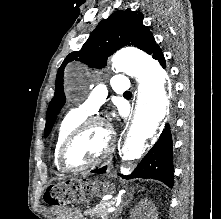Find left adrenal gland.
<instances>
[{
  "mask_svg": "<svg viewBox=\"0 0 221 219\" xmlns=\"http://www.w3.org/2000/svg\"><path fill=\"white\" fill-rule=\"evenodd\" d=\"M122 206L123 205H121L117 208L115 217H117L122 212Z\"/></svg>",
  "mask_w": 221,
  "mask_h": 219,
  "instance_id": "obj_1",
  "label": "left adrenal gland"
}]
</instances>
